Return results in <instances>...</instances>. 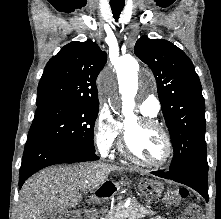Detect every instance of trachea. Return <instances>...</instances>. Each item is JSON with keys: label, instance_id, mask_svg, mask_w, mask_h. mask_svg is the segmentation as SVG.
<instances>
[{"label": "trachea", "instance_id": "obj_1", "mask_svg": "<svg viewBox=\"0 0 221 219\" xmlns=\"http://www.w3.org/2000/svg\"><path fill=\"white\" fill-rule=\"evenodd\" d=\"M110 6L113 13V17L117 21L124 8V2L110 3Z\"/></svg>", "mask_w": 221, "mask_h": 219}]
</instances>
